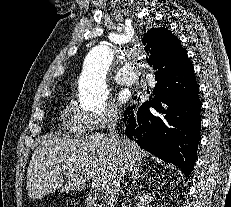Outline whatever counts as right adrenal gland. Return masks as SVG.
<instances>
[{"label":"right adrenal gland","instance_id":"2a0ac1e0","mask_svg":"<svg viewBox=\"0 0 231 207\" xmlns=\"http://www.w3.org/2000/svg\"><path fill=\"white\" fill-rule=\"evenodd\" d=\"M140 177L142 178V177H145V176H144V174L140 175L139 168L132 172L131 179H130L131 184H130L129 188L127 189L128 193H130V190L132 189L133 185L136 183V180L138 178H140Z\"/></svg>","mask_w":231,"mask_h":207}]
</instances>
